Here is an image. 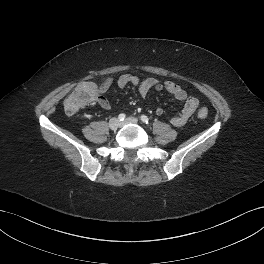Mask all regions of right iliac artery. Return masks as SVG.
<instances>
[{
	"label": "right iliac artery",
	"instance_id": "right-iliac-artery-1",
	"mask_svg": "<svg viewBox=\"0 0 264 264\" xmlns=\"http://www.w3.org/2000/svg\"><path fill=\"white\" fill-rule=\"evenodd\" d=\"M126 115L124 113L119 114L118 119L120 121H123L125 119Z\"/></svg>",
	"mask_w": 264,
	"mask_h": 264
}]
</instances>
